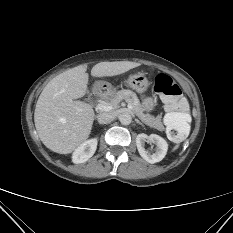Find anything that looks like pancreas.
Wrapping results in <instances>:
<instances>
[{
  "label": "pancreas",
  "instance_id": "cf45deb5",
  "mask_svg": "<svg viewBox=\"0 0 233 233\" xmlns=\"http://www.w3.org/2000/svg\"><path fill=\"white\" fill-rule=\"evenodd\" d=\"M122 99H125L133 107V112L139 117V119L146 125L153 127L159 131H163L165 128L159 117H154L150 114H145L142 105L137 95L131 90H120L113 94L111 97L106 98V101H111L116 106Z\"/></svg>",
  "mask_w": 233,
  "mask_h": 233
}]
</instances>
